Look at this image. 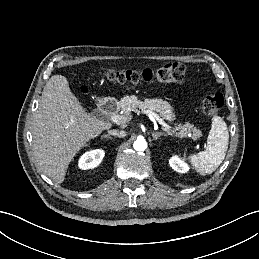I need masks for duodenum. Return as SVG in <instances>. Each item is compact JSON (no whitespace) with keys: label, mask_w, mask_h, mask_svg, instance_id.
Masks as SVG:
<instances>
[{"label":"duodenum","mask_w":259,"mask_h":259,"mask_svg":"<svg viewBox=\"0 0 259 259\" xmlns=\"http://www.w3.org/2000/svg\"><path fill=\"white\" fill-rule=\"evenodd\" d=\"M117 109V103L114 99H106L98 103V110L104 115H110Z\"/></svg>","instance_id":"obj_1"}]
</instances>
